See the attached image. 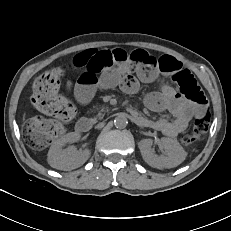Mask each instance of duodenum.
Instances as JSON below:
<instances>
[{
  "mask_svg": "<svg viewBox=\"0 0 231 231\" xmlns=\"http://www.w3.org/2000/svg\"><path fill=\"white\" fill-rule=\"evenodd\" d=\"M91 128V121L87 118L80 119L76 124V130L79 133H86Z\"/></svg>",
  "mask_w": 231,
  "mask_h": 231,
  "instance_id": "410a0bca",
  "label": "duodenum"
}]
</instances>
